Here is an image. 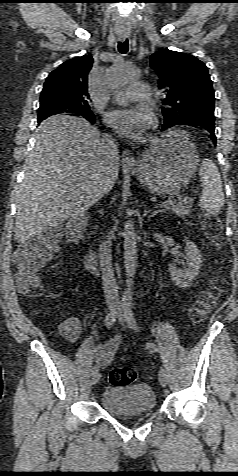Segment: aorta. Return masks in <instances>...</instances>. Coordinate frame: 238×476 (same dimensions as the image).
Returning <instances> with one entry per match:
<instances>
[{
    "label": "aorta",
    "mask_w": 238,
    "mask_h": 476,
    "mask_svg": "<svg viewBox=\"0 0 238 476\" xmlns=\"http://www.w3.org/2000/svg\"><path fill=\"white\" fill-rule=\"evenodd\" d=\"M139 75L138 69L124 65L111 70L110 80L115 84H122L137 79ZM137 264V235L132 221H128L124 232V267L127 276L126 288L122 296V304L124 306H130L133 299L132 285Z\"/></svg>",
    "instance_id": "762f6f07"
}]
</instances>
